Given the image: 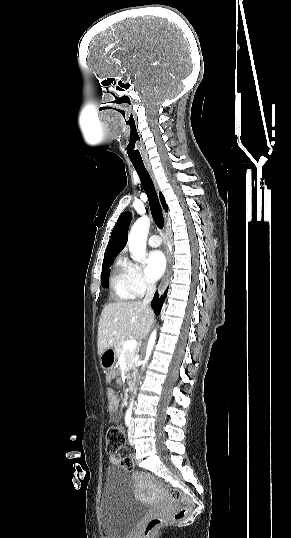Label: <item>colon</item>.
I'll use <instances>...</instances> for the list:
<instances>
[{
	"instance_id": "1",
	"label": "colon",
	"mask_w": 291,
	"mask_h": 538,
	"mask_svg": "<svg viewBox=\"0 0 291 538\" xmlns=\"http://www.w3.org/2000/svg\"><path fill=\"white\" fill-rule=\"evenodd\" d=\"M125 444V437L121 429L116 426H111L106 432V450L110 454L117 453ZM120 465L128 470L132 471L134 468V462L131 458L126 457L120 461ZM173 497L181 503V506L168 516H153L145 524L143 534L145 538H151L152 535L159 529V527L166 521H178L187 516L191 510L190 501L180 494L178 491L172 492Z\"/></svg>"
}]
</instances>
